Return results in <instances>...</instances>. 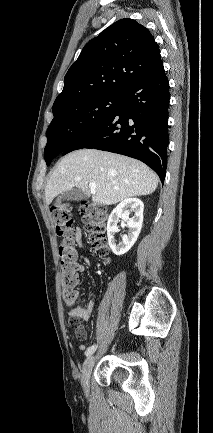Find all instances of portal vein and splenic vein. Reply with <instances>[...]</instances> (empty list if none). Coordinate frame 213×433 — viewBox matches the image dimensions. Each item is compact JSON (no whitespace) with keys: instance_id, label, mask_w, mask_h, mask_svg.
<instances>
[{"instance_id":"1","label":"portal vein and splenic vein","mask_w":213,"mask_h":433,"mask_svg":"<svg viewBox=\"0 0 213 433\" xmlns=\"http://www.w3.org/2000/svg\"><path fill=\"white\" fill-rule=\"evenodd\" d=\"M97 185L94 182L89 183V188L91 189V191H94L96 189Z\"/></svg>"}]
</instances>
